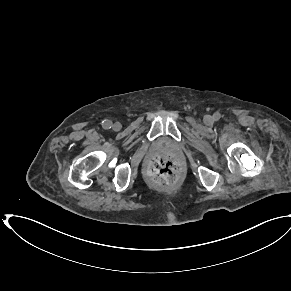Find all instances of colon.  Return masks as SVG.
I'll use <instances>...</instances> for the list:
<instances>
[{"label":"colon","mask_w":291,"mask_h":291,"mask_svg":"<svg viewBox=\"0 0 291 291\" xmlns=\"http://www.w3.org/2000/svg\"><path fill=\"white\" fill-rule=\"evenodd\" d=\"M149 171L156 184L167 186L176 180L178 166L173 158L162 156L152 161Z\"/></svg>","instance_id":"5ec220e1"}]
</instances>
